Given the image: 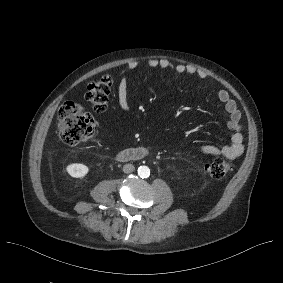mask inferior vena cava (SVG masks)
Listing matches in <instances>:
<instances>
[{
  "label": "inferior vena cava",
  "instance_id": "602c4592",
  "mask_svg": "<svg viewBox=\"0 0 283 283\" xmlns=\"http://www.w3.org/2000/svg\"><path fill=\"white\" fill-rule=\"evenodd\" d=\"M134 171V166L132 164H125L123 166V172L124 173H131Z\"/></svg>",
  "mask_w": 283,
  "mask_h": 283
}]
</instances>
